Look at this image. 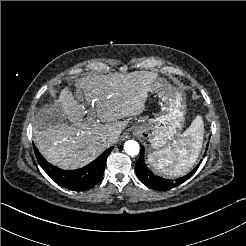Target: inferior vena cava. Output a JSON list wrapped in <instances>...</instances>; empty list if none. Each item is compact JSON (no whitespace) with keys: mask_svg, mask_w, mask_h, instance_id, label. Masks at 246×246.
Masks as SVG:
<instances>
[{"mask_svg":"<svg viewBox=\"0 0 246 246\" xmlns=\"http://www.w3.org/2000/svg\"><path fill=\"white\" fill-rule=\"evenodd\" d=\"M107 138H113V134H112V135L107 136Z\"/></svg>","mask_w":246,"mask_h":246,"instance_id":"602c4592","label":"inferior vena cava"}]
</instances>
